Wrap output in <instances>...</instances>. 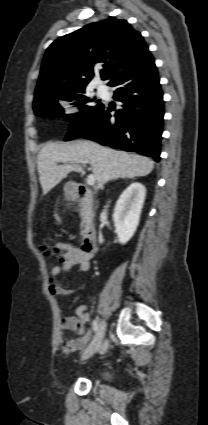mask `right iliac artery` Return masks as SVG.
I'll return each instance as SVG.
<instances>
[{"instance_id": "right-iliac-artery-1", "label": "right iliac artery", "mask_w": 208, "mask_h": 425, "mask_svg": "<svg viewBox=\"0 0 208 425\" xmlns=\"http://www.w3.org/2000/svg\"><path fill=\"white\" fill-rule=\"evenodd\" d=\"M98 327H99L98 322L96 320H93V322H92V329H93V331L94 332H97L98 331Z\"/></svg>"}]
</instances>
